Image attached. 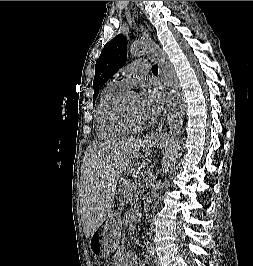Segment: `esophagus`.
<instances>
[{
    "mask_svg": "<svg viewBox=\"0 0 253 266\" xmlns=\"http://www.w3.org/2000/svg\"><path fill=\"white\" fill-rule=\"evenodd\" d=\"M153 57H155V55H153ZM157 59H158V58H157ZM158 66H159V75H160V77L163 79V74H162V71H161V63H160V60H159V59H158ZM166 113H167V111H166V109H165V111H164V113H163V116H162V118H161V121L159 122L158 126L156 127L155 130H153V131L147 136V140H148V141H151V140H153V139H155V138H157V137L160 136L161 131H162V128H163V125H164V121H165V119H166Z\"/></svg>",
    "mask_w": 253,
    "mask_h": 266,
    "instance_id": "34e87169",
    "label": "esophagus"
}]
</instances>
